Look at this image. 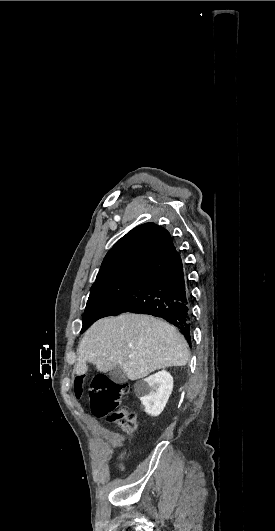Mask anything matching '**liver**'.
I'll list each match as a JSON object with an SVG mask.
<instances>
[{
  "label": "liver",
  "instance_id": "1",
  "mask_svg": "<svg viewBox=\"0 0 275 531\" xmlns=\"http://www.w3.org/2000/svg\"><path fill=\"white\" fill-rule=\"evenodd\" d=\"M78 351L76 375H85L86 363H93L101 373L120 367L130 381L165 367H185L189 359L187 341L173 325L132 313L94 323Z\"/></svg>",
  "mask_w": 275,
  "mask_h": 531
}]
</instances>
